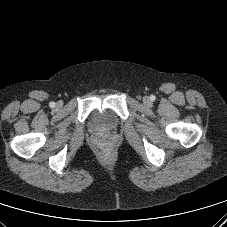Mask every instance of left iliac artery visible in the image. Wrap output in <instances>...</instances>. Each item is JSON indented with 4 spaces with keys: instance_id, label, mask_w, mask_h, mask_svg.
Segmentation results:
<instances>
[{
    "instance_id": "left-iliac-artery-1",
    "label": "left iliac artery",
    "mask_w": 227,
    "mask_h": 227,
    "mask_svg": "<svg viewBox=\"0 0 227 227\" xmlns=\"http://www.w3.org/2000/svg\"><path fill=\"white\" fill-rule=\"evenodd\" d=\"M155 99H156V97H155L154 95H151V96H150V100H151V101H154Z\"/></svg>"
}]
</instances>
